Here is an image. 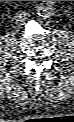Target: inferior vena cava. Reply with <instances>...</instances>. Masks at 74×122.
I'll use <instances>...</instances> for the list:
<instances>
[{
    "mask_svg": "<svg viewBox=\"0 0 74 122\" xmlns=\"http://www.w3.org/2000/svg\"><path fill=\"white\" fill-rule=\"evenodd\" d=\"M16 22L17 23H23L24 21H26L28 19L29 13L25 12V11H19L18 13H16Z\"/></svg>",
    "mask_w": 74,
    "mask_h": 122,
    "instance_id": "obj_1",
    "label": "inferior vena cava"
}]
</instances>
